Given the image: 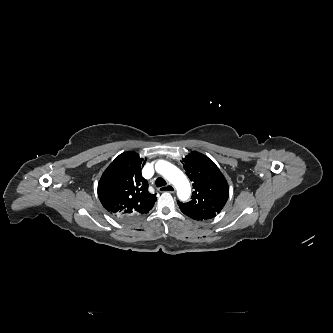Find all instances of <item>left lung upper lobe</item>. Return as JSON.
<instances>
[{
    "instance_id": "left-lung-upper-lobe-1",
    "label": "left lung upper lobe",
    "mask_w": 333,
    "mask_h": 333,
    "mask_svg": "<svg viewBox=\"0 0 333 333\" xmlns=\"http://www.w3.org/2000/svg\"><path fill=\"white\" fill-rule=\"evenodd\" d=\"M183 167L193 182L191 201H178L179 207L197 214L220 213L229 196V186L219 168L205 155L191 152L183 159Z\"/></svg>"
}]
</instances>
